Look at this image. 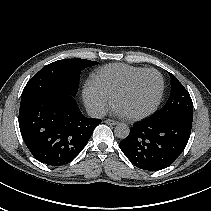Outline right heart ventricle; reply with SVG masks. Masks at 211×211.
Instances as JSON below:
<instances>
[{
	"mask_svg": "<svg viewBox=\"0 0 211 211\" xmlns=\"http://www.w3.org/2000/svg\"><path fill=\"white\" fill-rule=\"evenodd\" d=\"M145 70L126 64H109L100 68L92 77V81L113 96L129 79Z\"/></svg>",
	"mask_w": 211,
	"mask_h": 211,
	"instance_id": "e07e8e85",
	"label": "right heart ventricle"
}]
</instances>
